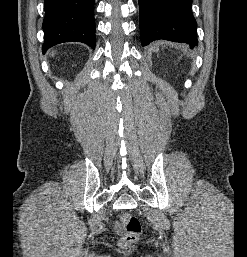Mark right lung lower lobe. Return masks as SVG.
Wrapping results in <instances>:
<instances>
[{
    "label": "right lung lower lobe",
    "instance_id": "obj_1",
    "mask_svg": "<svg viewBox=\"0 0 247 257\" xmlns=\"http://www.w3.org/2000/svg\"><path fill=\"white\" fill-rule=\"evenodd\" d=\"M44 7L43 53L69 41L83 42L95 49L94 0H45Z\"/></svg>",
    "mask_w": 247,
    "mask_h": 257
}]
</instances>
